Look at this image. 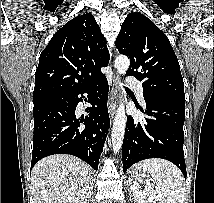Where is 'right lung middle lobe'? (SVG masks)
<instances>
[{
	"instance_id": "1",
	"label": "right lung middle lobe",
	"mask_w": 214,
	"mask_h": 203,
	"mask_svg": "<svg viewBox=\"0 0 214 203\" xmlns=\"http://www.w3.org/2000/svg\"><path fill=\"white\" fill-rule=\"evenodd\" d=\"M41 100H43V99H34L33 102H34V103H37V102H39V101H41Z\"/></svg>"
}]
</instances>
